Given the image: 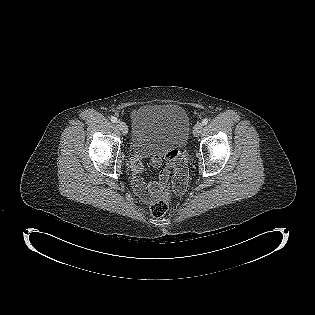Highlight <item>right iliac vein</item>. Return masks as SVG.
<instances>
[{"mask_svg":"<svg viewBox=\"0 0 315 315\" xmlns=\"http://www.w3.org/2000/svg\"><path fill=\"white\" fill-rule=\"evenodd\" d=\"M117 127L123 134H126L128 132L127 125L120 120L117 122Z\"/></svg>","mask_w":315,"mask_h":315,"instance_id":"63e3f726","label":"right iliac vein"}]
</instances>
